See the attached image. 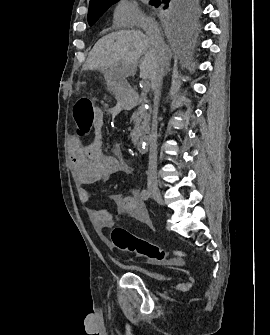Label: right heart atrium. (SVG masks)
Listing matches in <instances>:
<instances>
[{
    "instance_id": "right-heart-atrium-1",
    "label": "right heart atrium",
    "mask_w": 270,
    "mask_h": 335,
    "mask_svg": "<svg viewBox=\"0 0 270 335\" xmlns=\"http://www.w3.org/2000/svg\"><path fill=\"white\" fill-rule=\"evenodd\" d=\"M114 19L118 27L140 28V25H157L148 17L134 0H119L114 10Z\"/></svg>"
}]
</instances>
